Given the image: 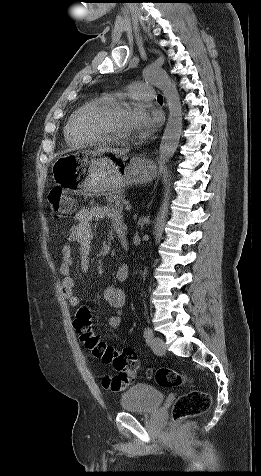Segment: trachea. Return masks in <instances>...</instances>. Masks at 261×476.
Instances as JSON below:
<instances>
[{"mask_svg": "<svg viewBox=\"0 0 261 476\" xmlns=\"http://www.w3.org/2000/svg\"><path fill=\"white\" fill-rule=\"evenodd\" d=\"M158 101H163V97L160 95L157 97Z\"/></svg>", "mask_w": 261, "mask_h": 476, "instance_id": "3493384b", "label": "trachea"}]
</instances>
